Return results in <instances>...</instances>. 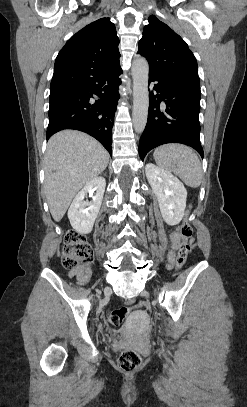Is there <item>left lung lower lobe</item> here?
<instances>
[{
	"mask_svg": "<svg viewBox=\"0 0 247 407\" xmlns=\"http://www.w3.org/2000/svg\"><path fill=\"white\" fill-rule=\"evenodd\" d=\"M157 81L150 94L148 119L139 142V155L144 160L153 148L166 143H182L194 148L203 158L200 143V85L159 77L149 73V83ZM164 102V105H160Z\"/></svg>",
	"mask_w": 247,
	"mask_h": 407,
	"instance_id": "1",
	"label": "left lung lower lobe"
}]
</instances>
